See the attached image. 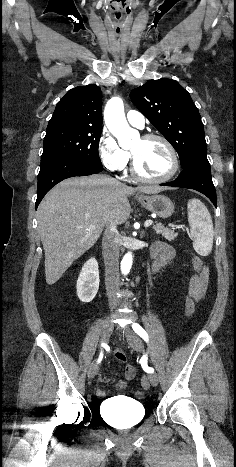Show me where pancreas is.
Returning a JSON list of instances; mask_svg holds the SVG:
<instances>
[{
  "mask_svg": "<svg viewBox=\"0 0 236 467\" xmlns=\"http://www.w3.org/2000/svg\"><path fill=\"white\" fill-rule=\"evenodd\" d=\"M153 229L156 234L162 235L168 241H173L178 236V233H175L172 229L165 227L162 223H156L153 226Z\"/></svg>",
  "mask_w": 236,
  "mask_h": 467,
  "instance_id": "cf45deb5",
  "label": "pancreas"
}]
</instances>
